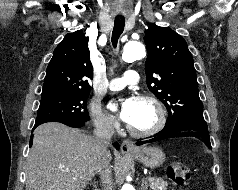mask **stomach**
<instances>
[{
  "label": "stomach",
  "mask_w": 238,
  "mask_h": 190,
  "mask_svg": "<svg viewBox=\"0 0 238 190\" xmlns=\"http://www.w3.org/2000/svg\"><path fill=\"white\" fill-rule=\"evenodd\" d=\"M130 155L150 168L159 167L165 160V154L158 147H140Z\"/></svg>",
  "instance_id": "obj_1"
}]
</instances>
